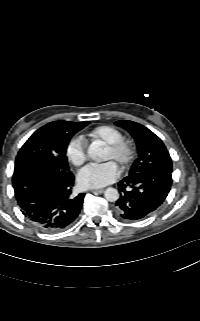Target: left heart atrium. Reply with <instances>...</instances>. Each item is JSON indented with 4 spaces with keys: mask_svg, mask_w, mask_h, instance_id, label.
Masks as SVG:
<instances>
[{
    "mask_svg": "<svg viewBox=\"0 0 200 321\" xmlns=\"http://www.w3.org/2000/svg\"><path fill=\"white\" fill-rule=\"evenodd\" d=\"M119 176L113 161L91 163L78 173V182L84 188H100L114 182Z\"/></svg>",
    "mask_w": 200,
    "mask_h": 321,
    "instance_id": "obj_1",
    "label": "left heart atrium"
}]
</instances>
